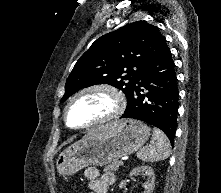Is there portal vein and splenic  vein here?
Returning <instances> with one entry per match:
<instances>
[{
  "label": "portal vein and splenic vein",
  "instance_id": "18ae733b",
  "mask_svg": "<svg viewBox=\"0 0 221 193\" xmlns=\"http://www.w3.org/2000/svg\"><path fill=\"white\" fill-rule=\"evenodd\" d=\"M120 163H121V165H123V161L122 160L120 161Z\"/></svg>",
  "mask_w": 221,
  "mask_h": 193
}]
</instances>
